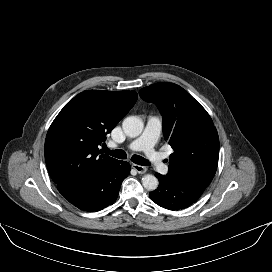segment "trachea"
Masks as SVG:
<instances>
[{"mask_svg":"<svg viewBox=\"0 0 272 272\" xmlns=\"http://www.w3.org/2000/svg\"><path fill=\"white\" fill-rule=\"evenodd\" d=\"M103 152L110 155V156H113L115 158H118V159H125L126 158V153L125 151L123 150H110L108 149L107 147H105L103 149ZM131 160L138 164V165H142V166H148L150 165L149 161L146 160L145 158L139 156V155H133L131 157Z\"/></svg>","mask_w":272,"mask_h":272,"instance_id":"3493384b","label":"trachea"}]
</instances>
